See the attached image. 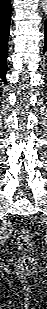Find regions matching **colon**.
I'll use <instances>...</instances> for the list:
<instances>
[{"mask_svg": "<svg viewBox=\"0 0 47 309\" xmlns=\"http://www.w3.org/2000/svg\"><path fill=\"white\" fill-rule=\"evenodd\" d=\"M16 241L18 248L23 252H28L31 249V232L27 228H20L16 232ZM37 266L36 260L28 255L21 256L18 260V268L24 273H29L35 270Z\"/></svg>", "mask_w": 47, "mask_h": 309, "instance_id": "colon-1", "label": "colon"}]
</instances>
